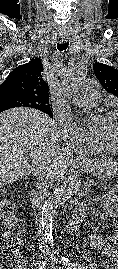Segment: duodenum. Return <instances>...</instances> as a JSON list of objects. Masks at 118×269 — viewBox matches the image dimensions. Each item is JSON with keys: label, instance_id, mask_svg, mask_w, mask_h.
<instances>
[{"label": "duodenum", "instance_id": "410a0bca", "mask_svg": "<svg viewBox=\"0 0 118 269\" xmlns=\"http://www.w3.org/2000/svg\"><path fill=\"white\" fill-rule=\"evenodd\" d=\"M83 219V213L77 211L73 217L65 224V227L68 231H73L79 227Z\"/></svg>", "mask_w": 118, "mask_h": 269}]
</instances>
